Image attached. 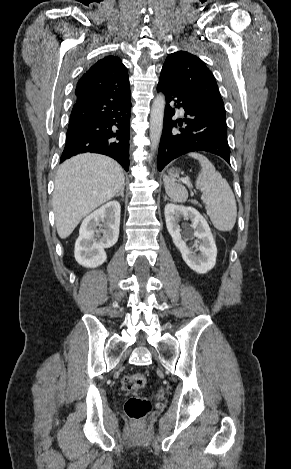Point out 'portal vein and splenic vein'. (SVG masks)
Instances as JSON below:
<instances>
[{"mask_svg": "<svg viewBox=\"0 0 291 469\" xmlns=\"http://www.w3.org/2000/svg\"><path fill=\"white\" fill-rule=\"evenodd\" d=\"M183 183H185V184H187V185L191 186V184H190V182H189V180H188V179H183Z\"/></svg>", "mask_w": 291, "mask_h": 469, "instance_id": "18ae733b", "label": "portal vein and splenic vein"}]
</instances>
